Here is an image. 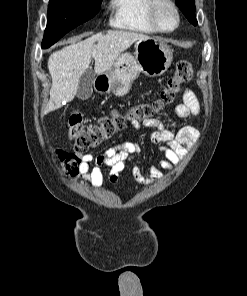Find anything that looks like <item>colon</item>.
<instances>
[{"label": "colon", "instance_id": "colon-1", "mask_svg": "<svg viewBox=\"0 0 247 296\" xmlns=\"http://www.w3.org/2000/svg\"><path fill=\"white\" fill-rule=\"evenodd\" d=\"M191 63L182 60L177 63L174 73L168 79L167 86L159 98L151 104L141 103L126 112L117 110L103 115L95 123H87L79 110H73L66 116V130L74 145V152L59 150L58 155L69 175H75L80 165V155L94 149L124 129L129 121L148 118L171 104L182 91L183 85L192 78Z\"/></svg>", "mask_w": 247, "mask_h": 296}]
</instances>
